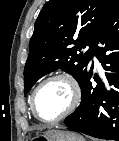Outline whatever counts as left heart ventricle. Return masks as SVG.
<instances>
[{"label": "left heart ventricle", "mask_w": 119, "mask_h": 141, "mask_svg": "<svg viewBox=\"0 0 119 141\" xmlns=\"http://www.w3.org/2000/svg\"><path fill=\"white\" fill-rule=\"evenodd\" d=\"M70 99V89L64 81L49 82L37 94V113L42 119L55 118L67 108Z\"/></svg>", "instance_id": "left-heart-ventricle-1"}]
</instances>
